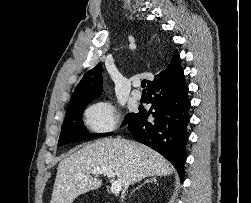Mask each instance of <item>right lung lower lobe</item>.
<instances>
[{"label":"right lung lower lobe","instance_id":"1","mask_svg":"<svg viewBox=\"0 0 251 203\" xmlns=\"http://www.w3.org/2000/svg\"><path fill=\"white\" fill-rule=\"evenodd\" d=\"M147 93L151 108L149 111L139 109L127 128L136 141L169 160L183 181L190 100L181 65L149 87ZM149 116L154 117L152 122H148Z\"/></svg>","mask_w":251,"mask_h":203}]
</instances>
